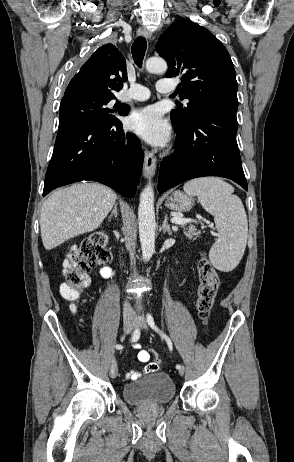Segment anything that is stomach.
<instances>
[{
    "mask_svg": "<svg viewBox=\"0 0 294 462\" xmlns=\"http://www.w3.org/2000/svg\"><path fill=\"white\" fill-rule=\"evenodd\" d=\"M168 208L175 211L185 212L189 211L193 205L194 200L192 197L180 192L175 191L166 201L165 204Z\"/></svg>",
    "mask_w": 294,
    "mask_h": 462,
    "instance_id": "1",
    "label": "stomach"
}]
</instances>
